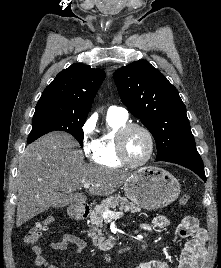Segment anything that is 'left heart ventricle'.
<instances>
[{"label": "left heart ventricle", "mask_w": 221, "mask_h": 268, "mask_svg": "<svg viewBox=\"0 0 221 268\" xmlns=\"http://www.w3.org/2000/svg\"><path fill=\"white\" fill-rule=\"evenodd\" d=\"M149 150L147 135L140 129H132L125 138V151L127 158L132 162H140Z\"/></svg>", "instance_id": "1"}]
</instances>
